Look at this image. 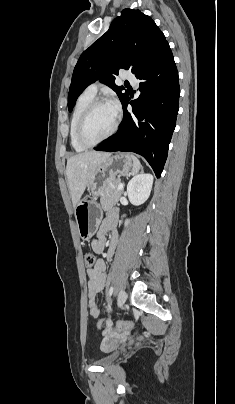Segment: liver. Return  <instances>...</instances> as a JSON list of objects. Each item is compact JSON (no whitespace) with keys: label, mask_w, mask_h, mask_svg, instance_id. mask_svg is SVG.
Instances as JSON below:
<instances>
[{"label":"liver","mask_w":235,"mask_h":404,"mask_svg":"<svg viewBox=\"0 0 235 404\" xmlns=\"http://www.w3.org/2000/svg\"><path fill=\"white\" fill-rule=\"evenodd\" d=\"M109 155L108 152L89 151L68 159L66 178L74 208L79 203L91 177Z\"/></svg>","instance_id":"1"}]
</instances>
